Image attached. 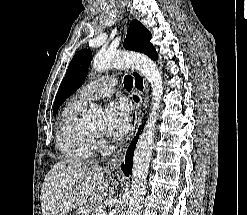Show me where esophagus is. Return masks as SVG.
I'll list each match as a JSON object with an SVG mask.
<instances>
[{"instance_id": "34e87169", "label": "esophagus", "mask_w": 247, "mask_h": 215, "mask_svg": "<svg viewBox=\"0 0 247 215\" xmlns=\"http://www.w3.org/2000/svg\"><path fill=\"white\" fill-rule=\"evenodd\" d=\"M131 74L133 77L134 92L138 99L134 103V109L130 119L131 122L130 132L126 137V140L123 143V145L119 148L116 154L107 163L106 170L108 172H115V173L120 172V165L125 159V153L127 147L130 141L134 138L137 128L141 122V118H140L141 109L142 107L147 106V98L149 92L148 84L145 78L143 77V75L138 70L132 69Z\"/></svg>"}]
</instances>
